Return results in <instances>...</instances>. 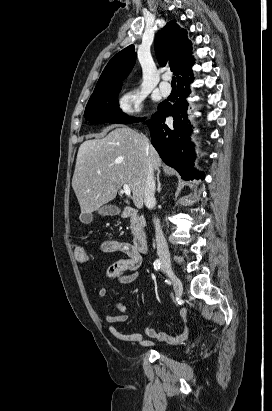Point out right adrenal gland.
I'll return each instance as SVG.
<instances>
[{"label":"right adrenal gland","instance_id":"2a0ac1e0","mask_svg":"<svg viewBox=\"0 0 272 411\" xmlns=\"http://www.w3.org/2000/svg\"><path fill=\"white\" fill-rule=\"evenodd\" d=\"M161 182H160V172H158V174H157V191H158V193H160L161 192Z\"/></svg>","mask_w":272,"mask_h":411}]
</instances>
